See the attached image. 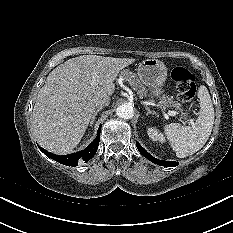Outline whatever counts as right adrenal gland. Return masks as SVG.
I'll list each match as a JSON object with an SVG mask.
<instances>
[{
    "label": "right adrenal gland",
    "instance_id": "right-adrenal-gland-1",
    "mask_svg": "<svg viewBox=\"0 0 233 233\" xmlns=\"http://www.w3.org/2000/svg\"><path fill=\"white\" fill-rule=\"evenodd\" d=\"M101 110H102V107H99V108H97V109L95 110V112H94V114H93V116H92V119H91V121H90V126L93 125V123H94V121H95V118H96L97 114H98L99 111H101Z\"/></svg>",
    "mask_w": 233,
    "mask_h": 233
}]
</instances>
